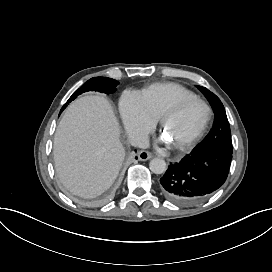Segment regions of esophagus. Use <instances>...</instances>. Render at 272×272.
<instances>
[{"mask_svg":"<svg viewBox=\"0 0 272 272\" xmlns=\"http://www.w3.org/2000/svg\"><path fill=\"white\" fill-rule=\"evenodd\" d=\"M152 158V154L146 150H141L138 153V159L141 161H146Z\"/></svg>","mask_w":272,"mask_h":272,"instance_id":"esophagus-1","label":"esophagus"}]
</instances>
